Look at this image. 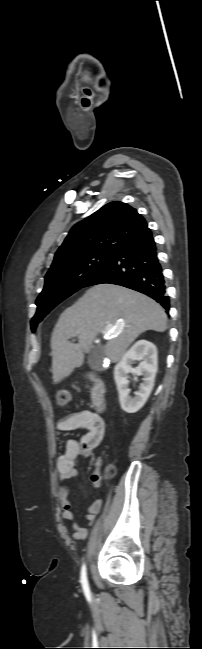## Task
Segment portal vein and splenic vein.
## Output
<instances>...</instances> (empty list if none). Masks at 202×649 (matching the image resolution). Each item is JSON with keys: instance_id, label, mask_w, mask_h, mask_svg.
Instances as JSON below:
<instances>
[{"instance_id": "1", "label": "portal vein and splenic vein", "mask_w": 202, "mask_h": 649, "mask_svg": "<svg viewBox=\"0 0 202 649\" xmlns=\"http://www.w3.org/2000/svg\"><path fill=\"white\" fill-rule=\"evenodd\" d=\"M113 333V330L111 329V325H108L105 330H103V337L104 339H108L109 336Z\"/></svg>"}]
</instances>
